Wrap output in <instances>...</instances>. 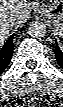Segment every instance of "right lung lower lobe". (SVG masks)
<instances>
[{"label":"right lung lower lobe","mask_w":63,"mask_h":107,"mask_svg":"<svg viewBox=\"0 0 63 107\" xmlns=\"http://www.w3.org/2000/svg\"><path fill=\"white\" fill-rule=\"evenodd\" d=\"M13 35H11L0 50V73L8 66L13 53Z\"/></svg>","instance_id":"right-lung-lower-lobe-1"}]
</instances>
